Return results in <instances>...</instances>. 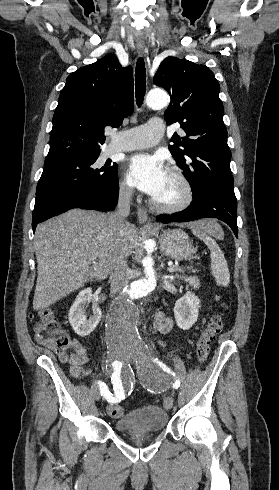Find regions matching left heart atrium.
<instances>
[{
	"label": "left heart atrium",
	"instance_id": "obj_1",
	"mask_svg": "<svg viewBox=\"0 0 279 490\" xmlns=\"http://www.w3.org/2000/svg\"><path fill=\"white\" fill-rule=\"evenodd\" d=\"M129 182L152 197L160 198L168 183V171L159 156L138 154L127 164Z\"/></svg>",
	"mask_w": 279,
	"mask_h": 490
}]
</instances>
